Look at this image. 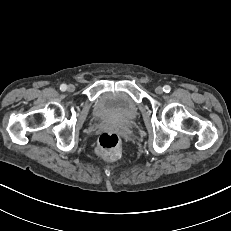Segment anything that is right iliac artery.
Returning <instances> with one entry per match:
<instances>
[{"mask_svg":"<svg viewBox=\"0 0 231 231\" xmlns=\"http://www.w3.org/2000/svg\"><path fill=\"white\" fill-rule=\"evenodd\" d=\"M66 89H67V85L66 84H62L61 86H60V90L61 91H66Z\"/></svg>","mask_w":231,"mask_h":231,"instance_id":"1","label":"right iliac artery"}]
</instances>
